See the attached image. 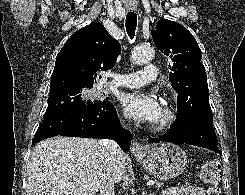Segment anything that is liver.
<instances>
[{
    "mask_svg": "<svg viewBox=\"0 0 245 195\" xmlns=\"http://www.w3.org/2000/svg\"><path fill=\"white\" fill-rule=\"evenodd\" d=\"M125 166L126 156L119 150L110 175L114 183L124 177ZM105 167L102 140L60 136L44 140L34 147L28 162L27 195H95Z\"/></svg>",
    "mask_w": 245,
    "mask_h": 195,
    "instance_id": "liver-1",
    "label": "liver"
}]
</instances>
